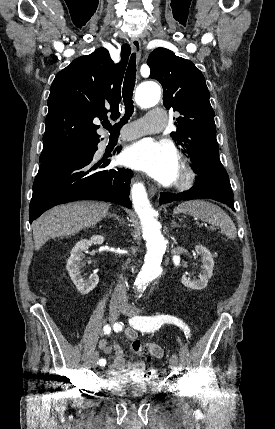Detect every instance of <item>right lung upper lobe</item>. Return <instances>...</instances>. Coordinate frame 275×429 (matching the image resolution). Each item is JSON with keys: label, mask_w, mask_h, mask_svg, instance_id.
Returning <instances> with one entry per match:
<instances>
[{"label": "right lung upper lobe", "mask_w": 275, "mask_h": 429, "mask_svg": "<svg viewBox=\"0 0 275 429\" xmlns=\"http://www.w3.org/2000/svg\"><path fill=\"white\" fill-rule=\"evenodd\" d=\"M130 50L128 44L122 45L121 62L114 64L108 50L100 48L57 73L50 87L40 158L100 141L93 122L107 118L108 113L120 116L121 84Z\"/></svg>", "instance_id": "cb5924a9"}]
</instances>
